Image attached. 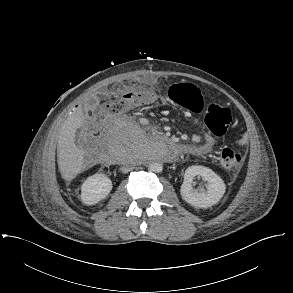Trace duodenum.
<instances>
[{
  "label": "duodenum",
  "mask_w": 293,
  "mask_h": 293,
  "mask_svg": "<svg viewBox=\"0 0 293 293\" xmlns=\"http://www.w3.org/2000/svg\"><path fill=\"white\" fill-rule=\"evenodd\" d=\"M164 139L171 142L175 152H184L186 150L187 145L180 144V143L176 142L175 140H173L171 137H165ZM116 156H117V154L113 153L111 156V159L114 160L116 158ZM170 160H175V157H171Z\"/></svg>",
  "instance_id": "obj_1"
}]
</instances>
